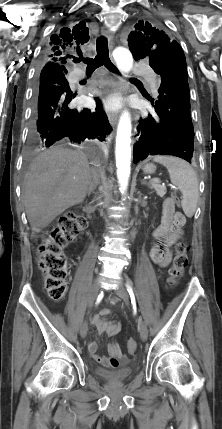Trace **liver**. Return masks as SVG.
Returning <instances> with one entry per match:
<instances>
[{"mask_svg":"<svg viewBox=\"0 0 222 429\" xmlns=\"http://www.w3.org/2000/svg\"><path fill=\"white\" fill-rule=\"evenodd\" d=\"M90 164L84 152L58 146L42 152L32 161L24 177L22 197L28 221L35 232L84 201L93 176Z\"/></svg>","mask_w":222,"mask_h":429,"instance_id":"1","label":"liver"}]
</instances>
